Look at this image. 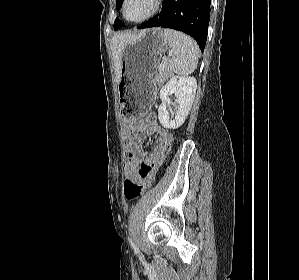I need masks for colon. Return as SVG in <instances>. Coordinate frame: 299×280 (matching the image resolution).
<instances>
[{"label": "colon", "instance_id": "1", "mask_svg": "<svg viewBox=\"0 0 299 280\" xmlns=\"http://www.w3.org/2000/svg\"><path fill=\"white\" fill-rule=\"evenodd\" d=\"M155 120L153 113L147 114L142 122L148 123ZM171 149V142H168L162 149L161 154L154 160L143 162L138 169L137 179H127L124 183V196L131 201L140 197L150 185L157 169L163 164Z\"/></svg>", "mask_w": 299, "mask_h": 280}]
</instances>
